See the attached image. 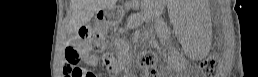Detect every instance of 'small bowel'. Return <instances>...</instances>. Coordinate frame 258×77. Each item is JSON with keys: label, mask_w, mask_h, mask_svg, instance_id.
<instances>
[{"label": "small bowel", "mask_w": 258, "mask_h": 77, "mask_svg": "<svg viewBox=\"0 0 258 77\" xmlns=\"http://www.w3.org/2000/svg\"><path fill=\"white\" fill-rule=\"evenodd\" d=\"M81 51L83 53L84 61L89 65H98L102 64L106 69L113 72L116 70L115 66V59L110 54H103V55H95L89 52V50L82 46ZM88 77L92 76V73H88Z\"/></svg>", "instance_id": "1"}]
</instances>
